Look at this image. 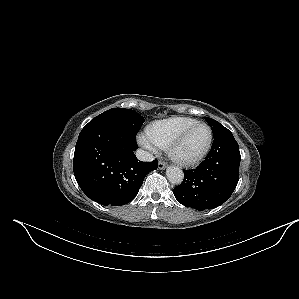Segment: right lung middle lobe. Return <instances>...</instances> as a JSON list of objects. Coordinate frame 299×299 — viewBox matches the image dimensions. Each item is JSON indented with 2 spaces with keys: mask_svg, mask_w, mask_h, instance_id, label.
Returning a JSON list of instances; mask_svg holds the SVG:
<instances>
[{
  "mask_svg": "<svg viewBox=\"0 0 299 299\" xmlns=\"http://www.w3.org/2000/svg\"><path fill=\"white\" fill-rule=\"evenodd\" d=\"M95 118H106L114 120L121 125L125 126L132 133L137 134L140 126L145 121L143 116L131 109L112 108L109 109Z\"/></svg>",
  "mask_w": 299,
  "mask_h": 299,
  "instance_id": "1",
  "label": "right lung middle lobe"
}]
</instances>
